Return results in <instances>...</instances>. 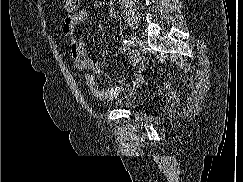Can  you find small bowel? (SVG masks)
I'll use <instances>...</instances> for the list:
<instances>
[{"label": "small bowel", "instance_id": "1", "mask_svg": "<svg viewBox=\"0 0 243 182\" xmlns=\"http://www.w3.org/2000/svg\"><path fill=\"white\" fill-rule=\"evenodd\" d=\"M87 15V7H82L75 13L68 15L63 21L62 31L70 40L73 64L81 74V79L91 94L100 100H113L125 87L131 84L135 85L142 80L146 63L139 53H133L130 57V65L137 67L134 79L129 83L125 74L120 73L114 86L102 88L96 80V75L101 71V65L88 56L84 40L78 37L76 33L77 26L87 19Z\"/></svg>", "mask_w": 243, "mask_h": 182}]
</instances>
